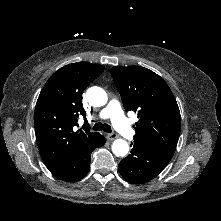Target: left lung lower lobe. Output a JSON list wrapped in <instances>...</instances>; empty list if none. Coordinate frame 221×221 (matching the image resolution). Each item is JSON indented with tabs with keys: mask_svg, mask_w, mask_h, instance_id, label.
Returning <instances> with one entry per match:
<instances>
[{
	"mask_svg": "<svg viewBox=\"0 0 221 221\" xmlns=\"http://www.w3.org/2000/svg\"><path fill=\"white\" fill-rule=\"evenodd\" d=\"M131 154L122 159L118 169L122 177L132 184H142L155 178L169 163L172 156L135 142Z\"/></svg>",
	"mask_w": 221,
	"mask_h": 221,
	"instance_id": "obj_1",
	"label": "left lung lower lobe"
}]
</instances>
